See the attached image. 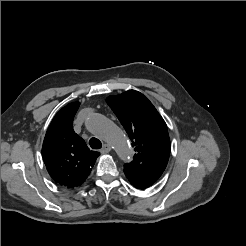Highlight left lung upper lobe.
<instances>
[{"instance_id": "left-lung-upper-lobe-1", "label": "left lung upper lobe", "mask_w": 246, "mask_h": 246, "mask_svg": "<svg viewBox=\"0 0 246 246\" xmlns=\"http://www.w3.org/2000/svg\"><path fill=\"white\" fill-rule=\"evenodd\" d=\"M106 102L125 128L136 152L133 161L124 164V170L155 182L165 170L170 155L165 121L152 103L135 90L109 96Z\"/></svg>"}]
</instances>
